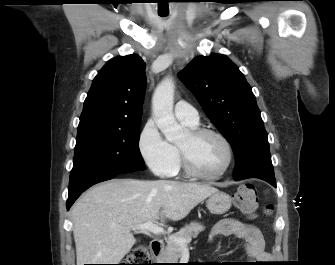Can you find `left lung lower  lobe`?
<instances>
[{"instance_id": "left-lung-lower-lobe-1", "label": "left lung lower lobe", "mask_w": 335, "mask_h": 265, "mask_svg": "<svg viewBox=\"0 0 335 265\" xmlns=\"http://www.w3.org/2000/svg\"><path fill=\"white\" fill-rule=\"evenodd\" d=\"M250 177L259 178V179L265 180L268 183H270L272 186L276 187L275 177L274 178H269V177H263V176H259V175H252ZM234 179L235 180H240L241 178H237V177L234 176Z\"/></svg>"}]
</instances>
